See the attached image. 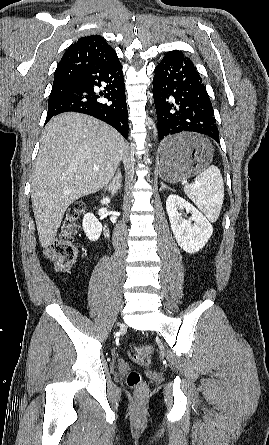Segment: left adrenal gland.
I'll return each instance as SVG.
<instances>
[{"mask_svg":"<svg viewBox=\"0 0 269 445\" xmlns=\"http://www.w3.org/2000/svg\"><path fill=\"white\" fill-rule=\"evenodd\" d=\"M160 184H161L160 191H162V190H164V189H168V190L173 191V189H171L170 187L166 186L163 182H161Z\"/></svg>","mask_w":269,"mask_h":445,"instance_id":"left-adrenal-gland-1","label":"left adrenal gland"}]
</instances>
